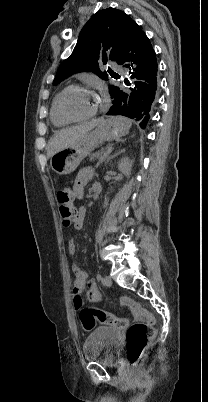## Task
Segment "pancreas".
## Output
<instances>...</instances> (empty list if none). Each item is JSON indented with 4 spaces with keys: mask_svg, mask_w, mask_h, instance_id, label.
Returning a JSON list of instances; mask_svg holds the SVG:
<instances>
[{
    "mask_svg": "<svg viewBox=\"0 0 208 402\" xmlns=\"http://www.w3.org/2000/svg\"><path fill=\"white\" fill-rule=\"evenodd\" d=\"M107 150H100V152H96V154H89L90 160H95V158H102V154H106Z\"/></svg>",
    "mask_w": 208,
    "mask_h": 402,
    "instance_id": "cf45deb5",
    "label": "pancreas"
}]
</instances>
